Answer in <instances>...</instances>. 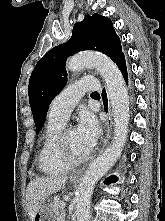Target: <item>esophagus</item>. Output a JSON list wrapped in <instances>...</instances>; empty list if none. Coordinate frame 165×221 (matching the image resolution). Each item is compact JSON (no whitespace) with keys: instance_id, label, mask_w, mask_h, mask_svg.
<instances>
[{"instance_id":"obj_1","label":"esophagus","mask_w":165,"mask_h":221,"mask_svg":"<svg viewBox=\"0 0 165 221\" xmlns=\"http://www.w3.org/2000/svg\"><path fill=\"white\" fill-rule=\"evenodd\" d=\"M112 126H113V118H112V113L109 109L108 119H107V122H106V134H105V139H104L102 148H104L106 146V144L108 143V141L110 139L111 132H112ZM83 170H84V168L79 170L78 172H76L74 174V176H79L80 174H82Z\"/></svg>"}]
</instances>
